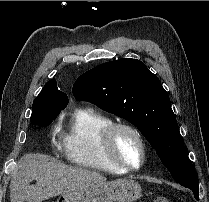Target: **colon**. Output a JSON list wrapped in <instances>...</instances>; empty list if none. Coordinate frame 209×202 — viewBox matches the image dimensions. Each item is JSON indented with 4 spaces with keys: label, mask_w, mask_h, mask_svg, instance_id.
Masks as SVG:
<instances>
[{
    "label": "colon",
    "mask_w": 209,
    "mask_h": 202,
    "mask_svg": "<svg viewBox=\"0 0 209 202\" xmlns=\"http://www.w3.org/2000/svg\"><path fill=\"white\" fill-rule=\"evenodd\" d=\"M152 202H174L167 197H156Z\"/></svg>",
    "instance_id": "colon-1"
}]
</instances>
